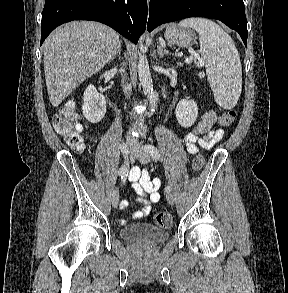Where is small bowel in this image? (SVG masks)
Listing matches in <instances>:
<instances>
[{
	"mask_svg": "<svg viewBox=\"0 0 288 293\" xmlns=\"http://www.w3.org/2000/svg\"><path fill=\"white\" fill-rule=\"evenodd\" d=\"M216 118L213 110L207 111L197 126L184 135L183 140L189 154H196L198 147L210 149L223 138L224 131L214 127ZM129 180L137 194V202L142 206L132 214V219L140 220L146 217L150 213L152 205L160 200L161 180L151 178L147 170H142L138 166L131 169ZM127 205V201H123L121 208H125Z\"/></svg>",
	"mask_w": 288,
	"mask_h": 293,
	"instance_id": "obj_1",
	"label": "small bowel"
}]
</instances>
